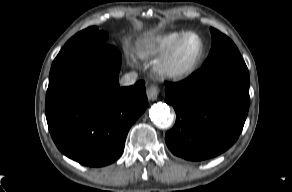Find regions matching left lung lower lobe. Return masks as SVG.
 <instances>
[{"label": "left lung lower lobe", "instance_id": "0a47b994", "mask_svg": "<svg viewBox=\"0 0 292 192\" xmlns=\"http://www.w3.org/2000/svg\"><path fill=\"white\" fill-rule=\"evenodd\" d=\"M249 73L244 61L202 67L178 83H165L166 103L176 112L166 133L170 151L186 160L215 157L238 139L249 109Z\"/></svg>", "mask_w": 292, "mask_h": 192}]
</instances>
